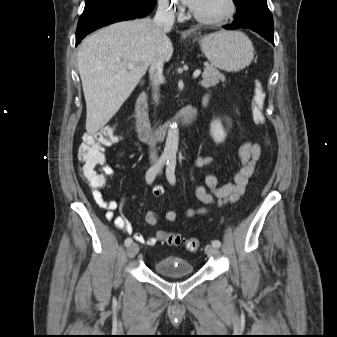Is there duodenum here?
I'll return each instance as SVG.
<instances>
[{"label": "duodenum", "instance_id": "obj_1", "mask_svg": "<svg viewBox=\"0 0 337 337\" xmlns=\"http://www.w3.org/2000/svg\"><path fill=\"white\" fill-rule=\"evenodd\" d=\"M137 107V133L142 140L160 141L173 124L191 126L198 118V110L195 106L186 107L176 118L153 128L148 120V100L145 92H142L136 103Z\"/></svg>", "mask_w": 337, "mask_h": 337}]
</instances>
